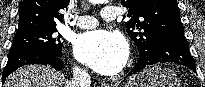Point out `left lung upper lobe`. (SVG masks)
<instances>
[{
    "mask_svg": "<svg viewBox=\"0 0 205 87\" xmlns=\"http://www.w3.org/2000/svg\"><path fill=\"white\" fill-rule=\"evenodd\" d=\"M122 4L129 8L128 35L140 57L151 54L165 33L183 28L176 0H122Z\"/></svg>",
    "mask_w": 205,
    "mask_h": 87,
    "instance_id": "1",
    "label": "left lung upper lobe"
}]
</instances>
